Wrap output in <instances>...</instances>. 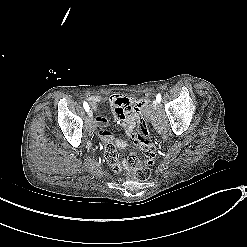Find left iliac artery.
I'll return each instance as SVG.
<instances>
[{"label":"left iliac artery","instance_id":"44dca946","mask_svg":"<svg viewBox=\"0 0 247 247\" xmlns=\"http://www.w3.org/2000/svg\"><path fill=\"white\" fill-rule=\"evenodd\" d=\"M156 100H157V102L158 103H160L161 102V94L159 93V94H157V96H156Z\"/></svg>","mask_w":247,"mask_h":247}]
</instances>
